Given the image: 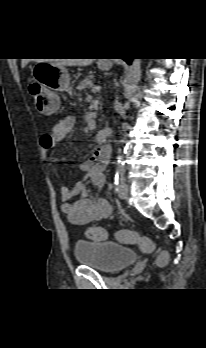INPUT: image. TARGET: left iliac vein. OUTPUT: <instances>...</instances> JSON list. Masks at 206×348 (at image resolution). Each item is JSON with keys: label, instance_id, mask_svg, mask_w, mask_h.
I'll return each mask as SVG.
<instances>
[{"label": "left iliac vein", "instance_id": "left-iliac-vein-1", "mask_svg": "<svg viewBox=\"0 0 206 348\" xmlns=\"http://www.w3.org/2000/svg\"><path fill=\"white\" fill-rule=\"evenodd\" d=\"M129 195V186L124 184L118 191V196L121 199H126Z\"/></svg>", "mask_w": 206, "mask_h": 348}]
</instances>
